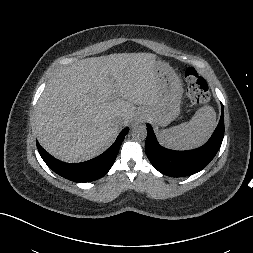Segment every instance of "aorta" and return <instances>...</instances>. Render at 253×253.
Wrapping results in <instances>:
<instances>
[{"label":"aorta","instance_id":"aorta-1","mask_svg":"<svg viewBox=\"0 0 253 253\" xmlns=\"http://www.w3.org/2000/svg\"><path fill=\"white\" fill-rule=\"evenodd\" d=\"M132 138L136 141H143L147 136V128L143 124H136L132 128L131 132Z\"/></svg>","mask_w":253,"mask_h":253}]
</instances>
